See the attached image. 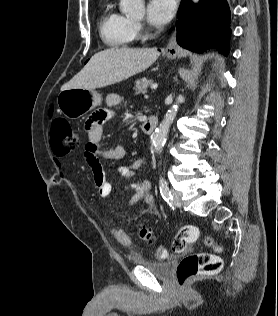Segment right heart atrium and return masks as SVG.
<instances>
[{
	"label": "right heart atrium",
	"mask_w": 278,
	"mask_h": 316,
	"mask_svg": "<svg viewBox=\"0 0 278 316\" xmlns=\"http://www.w3.org/2000/svg\"><path fill=\"white\" fill-rule=\"evenodd\" d=\"M130 28H131L133 37L139 36L143 30L142 24L138 21H131Z\"/></svg>",
	"instance_id": "right-heart-atrium-1"
}]
</instances>
